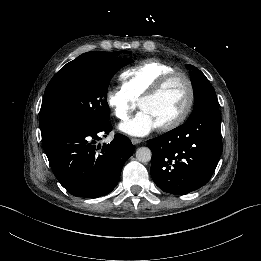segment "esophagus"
Segmentation results:
<instances>
[{
    "mask_svg": "<svg viewBox=\"0 0 261 261\" xmlns=\"http://www.w3.org/2000/svg\"><path fill=\"white\" fill-rule=\"evenodd\" d=\"M132 144L136 145L142 142V139L139 138H131Z\"/></svg>",
    "mask_w": 261,
    "mask_h": 261,
    "instance_id": "obj_1",
    "label": "esophagus"
}]
</instances>
